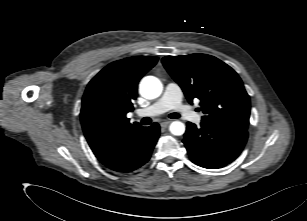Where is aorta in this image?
I'll return each mask as SVG.
<instances>
[{"label":"aorta","mask_w":307,"mask_h":221,"mask_svg":"<svg viewBox=\"0 0 307 221\" xmlns=\"http://www.w3.org/2000/svg\"><path fill=\"white\" fill-rule=\"evenodd\" d=\"M162 89V83L154 76L144 77L139 86L140 94L146 99H155L159 97L162 93ZM169 130L173 135L180 136L185 132V125L180 121H174L170 124Z\"/></svg>","instance_id":"aorta-1"}]
</instances>
